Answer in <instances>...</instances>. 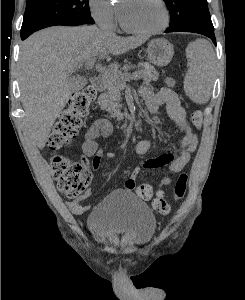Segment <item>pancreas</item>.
<instances>
[{
	"label": "pancreas",
	"instance_id": "cf45deb5",
	"mask_svg": "<svg viewBox=\"0 0 245 300\" xmlns=\"http://www.w3.org/2000/svg\"><path fill=\"white\" fill-rule=\"evenodd\" d=\"M138 67L139 78H142L144 82L149 83L158 79V73L150 63H139ZM127 76V72L120 70H109L103 75L107 91L100 96L99 103L102 109L110 113L112 118L121 119L123 117L120 104L121 89L127 81Z\"/></svg>",
	"mask_w": 245,
	"mask_h": 300
}]
</instances>
